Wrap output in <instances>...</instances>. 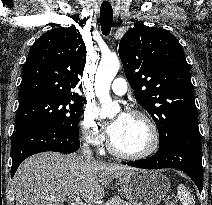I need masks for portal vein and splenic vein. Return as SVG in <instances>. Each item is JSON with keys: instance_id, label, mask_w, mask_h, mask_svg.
I'll use <instances>...</instances> for the list:
<instances>
[{"instance_id": "18ae733b", "label": "portal vein and splenic vein", "mask_w": 212, "mask_h": 205, "mask_svg": "<svg viewBox=\"0 0 212 205\" xmlns=\"http://www.w3.org/2000/svg\"><path fill=\"white\" fill-rule=\"evenodd\" d=\"M74 200L76 205H87L86 203L82 202V200L79 197H75Z\"/></svg>"}]
</instances>
